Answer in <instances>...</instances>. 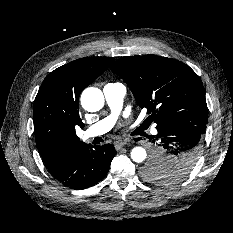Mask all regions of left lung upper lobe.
Returning a JSON list of instances; mask_svg holds the SVG:
<instances>
[{
  "instance_id": "left-lung-upper-lobe-1",
  "label": "left lung upper lobe",
  "mask_w": 233,
  "mask_h": 233,
  "mask_svg": "<svg viewBox=\"0 0 233 233\" xmlns=\"http://www.w3.org/2000/svg\"><path fill=\"white\" fill-rule=\"evenodd\" d=\"M111 70L127 83L138 105L147 109L156 129L206 127L208 109L203 87L188 65L162 56H126L118 59ZM161 164L149 162L142 170L143 177L157 183H173L195 165L170 168Z\"/></svg>"
}]
</instances>
